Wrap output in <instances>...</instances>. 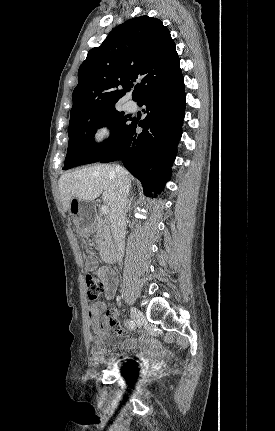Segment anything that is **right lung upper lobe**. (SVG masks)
<instances>
[{
    "label": "right lung upper lobe",
    "instance_id": "obj_1",
    "mask_svg": "<svg viewBox=\"0 0 275 431\" xmlns=\"http://www.w3.org/2000/svg\"><path fill=\"white\" fill-rule=\"evenodd\" d=\"M179 69L174 41L159 19L140 16L127 20L100 47L91 49L81 64L70 122L114 107L137 79L141 82L135 86L132 97L138 102Z\"/></svg>",
    "mask_w": 275,
    "mask_h": 431
}]
</instances>
